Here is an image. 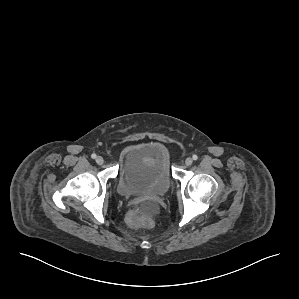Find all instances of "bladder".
<instances>
[{
	"label": "bladder",
	"instance_id": "1",
	"mask_svg": "<svg viewBox=\"0 0 299 299\" xmlns=\"http://www.w3.org/2000/svg\"><path fill=\"white\" fill-rule=\"evenodd\" d=\"M170 186L169 166L161 144L136 143L126 150L118 176V191L121 195L163 196Z\"/></svg>",
	"mask_w": 299,
	"mask_h": 299
}]
</instances>
